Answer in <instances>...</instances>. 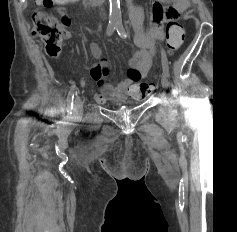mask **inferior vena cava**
Wrapping results in <instances>:
<instances>
[{
  "mask_svg": "<svg viewBox=\"0 0 237 232\" xmlns=\"http://www.w3.org/2000/svg\"><path fill=\"white\" fill-rule=\"evenodd\" d=\"M94 4L98 5V6H102V4L104 3L105 0H92ZM101 12H103V15H105L104 13V9L101 8Z\"/></svg>",
  "mask_w": 237,
  "mask_h": 232,
  "instance_id": "obj_1",
  "label": "inferior vena cava"
}]
</instances>
